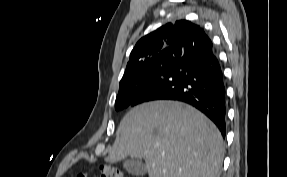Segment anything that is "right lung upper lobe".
<instances>
[{
	"mask_svg": "<svg viewBox=\"0 0 287 177\" xmlns=\"http://www.w3.org/2000/svg\"><path fill=\"white\" fill-rule=\"evenodd\" d=\"M203 31L200 26L187 20L167 23L141 38L130 54L120 83L169 56L182 57L185 48Z\"/></svg>",
	"mask_w": 287,
	"mask_h": 177,
	"instance_id": "1",
	"label": "right lung upper lobe"
}]
</instances>
